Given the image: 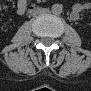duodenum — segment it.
<instances>
[{"label": "duodenum", "instance_id": "410a0bca", "mask_svg": "<svg viewBox=\"0 0 91 91\" xmlns=\"http://www.w3.org/2000/svg\"><path fill=\"white\" fill-rule=\"evenodd\" d=\"M43 7L42 6H34L33 10H41Z\"/></svg>", "mask_w": 91, "mask_h": 91}]
</instances>
